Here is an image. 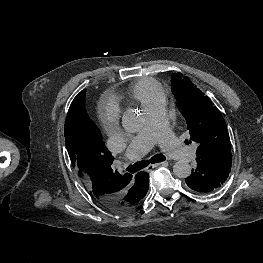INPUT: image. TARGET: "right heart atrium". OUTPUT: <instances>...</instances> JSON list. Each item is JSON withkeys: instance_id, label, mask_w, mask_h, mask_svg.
<instances>
[{"instance_id": "right-heart-atrium-1", "label": "right heart atrium", "mask_w": 263, "mask_h": 263, "mask_svg": "<svg viewBox=\"0 0 263 263\" xmlns=\"http://www.w3.org/2000/svg\"><path fill=\"white\" fill-rule=\"evenodd\" d=\"M101 120L109 133L115 130V122L118 117V107L113 101H103L99 106Z\"/></svg>"}]
</instances>
